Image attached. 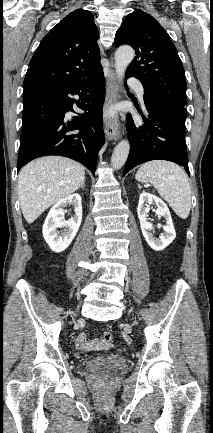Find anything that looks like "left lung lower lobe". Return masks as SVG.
Returning <instances> with one entry per match:
<instances>
[{
    "label": "left lung lower lobe",
    "instance_id": "1",
    "mask_svg": "<svg viewBox=\"0 0 213 433\" xmlns=\"http://www.w3.org/2000/svg\"><path fill=\"white\" fill-rule=\"evenodd\" d=\"M137 110L143 118L140 126L134 124L131 114H127L130 152L124 175L136 165L151 160L175 162L183 166L189 175L185 141L187 111L170 103L145 97L144 111L138 107Z\"/></svg>",
    "mask_w": 213,
    "mask_h": 433
}]
</instances>
